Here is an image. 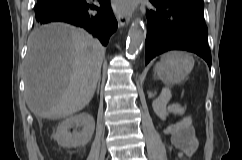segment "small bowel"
<instances>
[{"label":"small bowel","instance_id":"small-bowel-1","mask_svg":"<svg viewBox=\"0 0 242 160\" xmlns=\"http://www.w3.org/2000/svg\"><path fill=\"white\" fill-rule=\"evenodd\" d=\"M173 133L174 145L179 150L182 160L193 154L199 145L191 119L185 117L170 128Z\"/></svg>","mask_w":242,"mask_h":160}]
</instances>
